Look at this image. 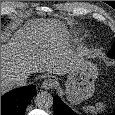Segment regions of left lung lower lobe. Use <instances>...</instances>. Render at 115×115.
<instances>
[{
  "label": "left lung lower lobe",
  "instance_id": "obj_1",
  "mask_svg": "<svg viewBox=\"0 0 115 115\" xmlns=\"http://www.w3.org/2000/svg\"><path fill=\"white\" fill-rule=\"evenodd\" d=\"M54 115H78L73 112L66 104H64L58 96L54 97ZM110 115H115L112 113Z\"/></svg>",
  "mask_w": 115,
  "mask_h": 115
}]
</instances>
